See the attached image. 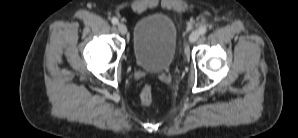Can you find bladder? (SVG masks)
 <instances>
[{
	"label": "bladder",
	"instance_id": "1",
	"mask_svg": "<svg viewBox=\"0 0 298 138\" xmlns=\"http://www.w3.org/2000/svg\"><path fill=\"white\" fill-rule=\"evenodd\" d=\"M177 49V27L173 20L161 13L139 19L132 38L133 58L141 68L166 71L172 64Z\"/></svg>",
	"mask_w": 298,
	"mask_h": 138
}]
</instances>
